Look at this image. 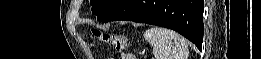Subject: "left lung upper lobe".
I'll return each mask as SVG.
<instances>
[{
	"label": "left lung upper lobe",
	"mask_w": 261,
	"mask_h": 59,
	"mask_svg": "<svg viewBox=\"0 0 261 59\" xmlns=\"http://www.w3.org/2000/svg\"><path fill=\"white\" fill-rule=\"evenodd\" d=\"M119 1L120 0H90L92 12L99 18L113 8Z\"/></svg>",
	"instance_id": "left-lung-upper-lobe-1"
}]
</instances>
